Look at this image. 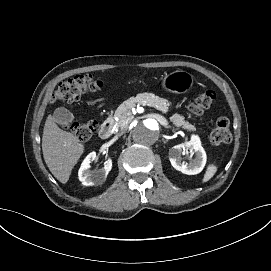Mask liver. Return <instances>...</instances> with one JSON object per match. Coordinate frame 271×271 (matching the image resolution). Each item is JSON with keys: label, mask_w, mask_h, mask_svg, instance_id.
I'll use <instances>...</instances> for the list:
<instances>
[{"label": "liver", "mask_w": 271, "mask_h": 271, "mask_svg": "<svg viewBox=\"0 0 271 271\" xmlns=\"http://www.w3.org/2000/svg\"><path fill=\"white\" fill-rule=\"evenodd\" d=\"M42 151L51 173L65 184L83 154L84 146L73 134L60 129L49 115L43 130Z\"/></svg>", "instance_id": "1"}]
</instances>
